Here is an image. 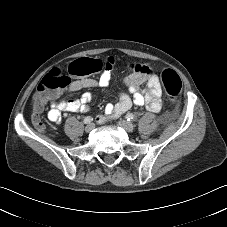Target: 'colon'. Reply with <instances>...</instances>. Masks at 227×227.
I'll return each instance as SVG.
<instances>
[{
  "label": "colon",
  "instance_id": "1",
  "mask_svg": "<svg viewBox=\"0 0 227 227\" xmlns=\"http://www.w3.org/2000/svg\"><path fill=\"white\" fill-rule=\"evenodd\" d=\"M102 67L101 61L94 58H78L72 61L67 68V73L59 68H53L46 74L36 87L32 97V107L34 111L33 123L40 129H45V124L38 117V113L45 104L58 96L59 92L71 84V77H87L96 74ZM130 69L145 75H151L152 71L139 63H131ZM161 81L165 89L168 100L175 101L182 92V81L179 75L171 69H166L161 73Z\"/></svg>",
  "mask_w": 227,
  "mask_h": 227
}]
</instances>
